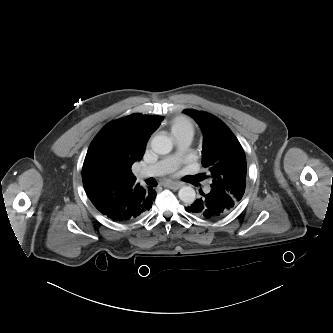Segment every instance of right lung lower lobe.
Returning a JSON list of instances; mask_svg holds the SVG:
<instances>
[{"instance_id": "98d812e1", "label": "right lung lower lobe", "mask_w": 333, "mask_h": 333, "mask_svg": "<svg viewBox=\"0 0 333 333\" xmlns=\"http://www.w3.org/2000/svg\"><path fill=\"white\" fill-rule=\"evenodd\" d=\"M87 195L103 215L113 221L126 223L141 217L151 208L156 192L139 184H123L113 188L91 190Z\"/></svg>"}]
</instances>
